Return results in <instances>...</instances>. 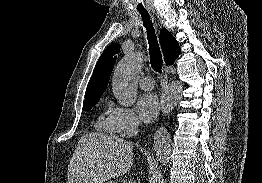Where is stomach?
<instances>
[{
	"label": "stomach",
	"instance_id": "obj_1",
	"mask_svg": "<svg viewBox=\"0 0 262 183\" xmlns=\"http://www.w3.org/2000/svg\"><path fill=\"white\" fill-rule=\"evenodd\" d=\"M107 183H115V182L110 181V182H107Z\"/></svg>",
	"mask_w": 262,
	"mask_h": 183
}]
</instances>
